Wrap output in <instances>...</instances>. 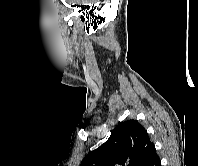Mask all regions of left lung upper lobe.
Masks as SVG:
<instances>
[{
	"mask_svg": "<svg viewBox=\"0 0 198 166\" xmlns=\"http://www.w3.org/2000/svg\"><path fill=\"white\" fill-rule=\"evenodd\" d=\"M155 154L147 131L136 120H128L116 126L109 139L80 166H148Z\"/></svg>",
	"mask_w": 198,
	"mask_h": 166,
	"instance_id": "5c2ea615",
	"label": "left lung upper lobe"
}]
</instances>
